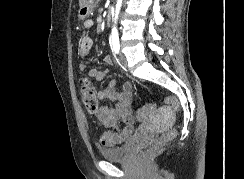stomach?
Segmentation results:
<instances>
[{"instance_id":"obj_1","label":"stomach","mask_w":244,"mask_h":179,"mask_svg":"<svg viewBox=\"0 0 244 179\" xmlns=\"http://www.w3.org/2000/svg\"><path fill=\"white\" fill-rule=\"evenodd\" d=\"M91 4H93V0H80V4H79L80 20H84V18H86V16H88L89 12H91Z\"/></svg>"}]
</instances>
